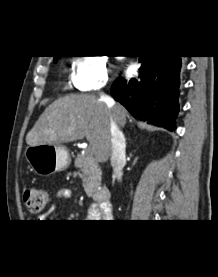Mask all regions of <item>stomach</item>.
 I'll return each mask as SVG.
<instances>
[{
  "label": "stomach",
  "instance_id": "stomach-1",
  "mask_svg": "<svg viewBox=\"0 0 218 277\" xmlns=\"http://www.w3.org/2000/svg\"><path fill=\"white\" fill-rule=\"evenodd\" d=\"M25 158L31 169L38 175L48 176L67 169L71 157L62 145L39 144L25 150Z\"/></svg>",
  "mask_w": 218,
  "mask_h": 277
}]
</instances>
